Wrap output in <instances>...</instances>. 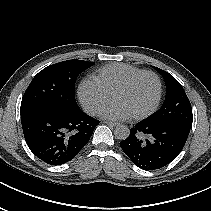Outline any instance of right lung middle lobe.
Wrapping results in <instances>:
<instances>
[{
    "mask_svg": "<svg viewBox=\"0 0 211 211\" xmlns=\"http://www.w3.org/2000/svg\"><path fill=\"white\" fill-rule=\"evenodd\" d=\"M93 64L84 60H67L41 70L24 93L20 113L80 109L74 96L75 81L81 72Z\"/></svg>",
    "mask_w": 211,
    "mask_h": 211,
    "instance_id": "1",
    "label": "right lung middle lobe"
}]
</instances>
